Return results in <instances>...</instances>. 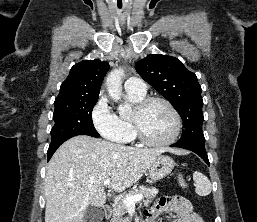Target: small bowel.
I'll use <instances>...</instances> for the list:
<instances>
[{"label":"small bowel","mask_w":257,"mask_h":222,"mask_svg":"<svg viewBox=\"0 0 257 222\" xmlns=\"http://www.w3.org/2000/svg\"><path fill=\"white\" fill-rule=\"evenodd\" d=\"M172 212V222H203L201 216L192 210L189 200L182 196L162 197L155 206L145 212L146 222H155L157 217Z\"/></svg>","instance_id":"obj_1"}]
</instances>
